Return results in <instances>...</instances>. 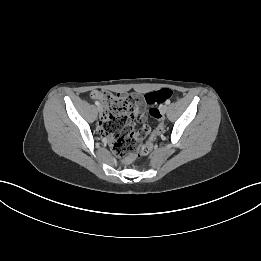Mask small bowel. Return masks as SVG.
<instances>
[{
    "mask_svg": "<svg viewBox=\"0 0 261 261\" xmlns=\"http://www.w3.org/2000/svg\"><path fill=\"white\" fill-rule=\"evenodd\" d=\"M132 98L136 102V108L133 110V117L136 118L138 121L143 122L146 119V113H145V103L144 100L137 94L132 95ZM103 118V116H102ZM151 127L149 125H144L141 128V132L139 134L140 139L145 140L149 137L151 132Z\"/></svg>",
    "mask_w": 261,
    "mask_h": 261,
    "instance_id": "1",
    "label": "small bowel"
}]
</instances>
